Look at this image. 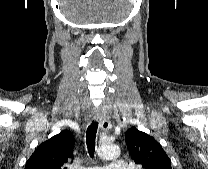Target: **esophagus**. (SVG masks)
Instances as JSON below:
<instances>
[{"instance_id": "1", "label": "esophagus", "mask_w": 208, "mask_h": 169, "mask_svg": "<svg viewBox=\"0 0 208 169\" xmlns=\"http://www.w3.org/2000/svg\"><path fill=\"white\" fill-rule=\"evenodd\" d=\"M95 119L99 122V126L102 132H106L111 128V122L106 112H97Z\"/></svg>"}]
</instances>
